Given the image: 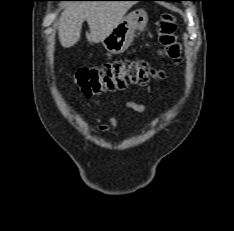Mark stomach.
<instances>
[{
  "mask_svg": "<svg viewBox=\"0 0 234 231\" xmlns=\"http://www.w3.org/2000/svg\"><path fill=\"white\" fill-rule=\"evenodd\" d=\"M147 23L148 15L143 9L130 12L102 40L104 48L111 54L123 53L132 43L135 31H143Z\"/></svg>",
  "mask_w": 234,
  "mask_h": 231,
  "instance_id": "obj_1",
  "label": "stomach"
}]
</instances>
